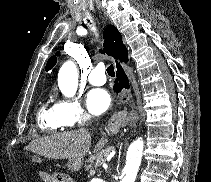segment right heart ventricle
Instances as JSON below:
<instances>
[{
    "label": "right heart ventricle",
    "mask_w": 211,
    "mask_h": 182,
    "mask_svg": "<svg viewBox=\"0 0 211 182\" xmlns=\"http://www.w3.org/2000/svg\"><path fill=\"white\" fill-rule=\"evenodd\" d=\"M37 123L40 129L46 133H56L66 127L57 113L56 106H50L48 103L41 105L37 115Z\"/></svg>",
    "instance_id": "right-heart-ventricle-1"
}]
</instances>
